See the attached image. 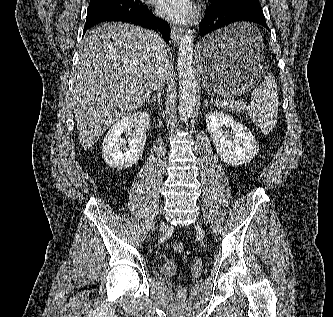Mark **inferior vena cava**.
I'll return each mask as SVG.
<instances>
[{
	"instance_id": "1",
	"label": "inferior vena cava",
	"mask_w": 333,
	"mask_h": 317,
	"mask_svg": "<svg viewBox=\"0 0 333 317\" xmlns=\"http://www.w3.org/2000/svg\"><path fill=\"white\" fill-rule=\"evenodd\" d=\"M157 40L161 43V51L160 56L158 57V63L156 66V80H155V90H160L168 81V74H167V50L166 45L163 40L157 35Z\"/></svg>"
}]
</instances>
